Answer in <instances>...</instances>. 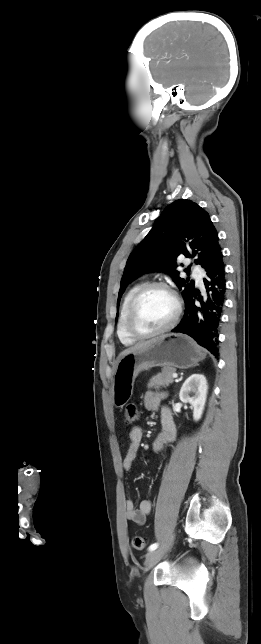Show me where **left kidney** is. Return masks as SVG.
I'll return each instance as SVG.
<instances>
[{"label": "left kidney", "instance_id": "1", "mask_svg": "<svg viewBox=\"0 0 261 644\" xmlns=\"http://www.w3.org/2000/svg\"><path fill=\"white\" fill-rule=\"evenodd\" d=\"M207 380L202 374H193L183 383L179 398L184 403H190L193 407V419L198 421L203 414L207 398ZM193 393V396L190 394Z\"/></svg>", "mask_w": 261, "mask_h": 644}]
</instances>
